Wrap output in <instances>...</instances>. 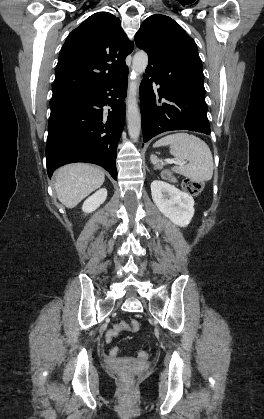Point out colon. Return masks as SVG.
I'll return each instance as SVG.
<instances>
[{"label":"colon","instance_id":"colon-1","mask_svg":"<svg viewBox=\"0 0 264 419\" xmlns=\"http://www.w3.org/2000/svg\"><path fill=\"white\" fill-rule=\"evenodd\" d=\"M162 177L165 180H169V181L174 180V177H173L172 173L168 170H165L162 173ZM202 187L203 186L200 182L192 180V179H185L182 183L183 190L190 195L199 194L202 190ZM139 327H140L139 322L135 319H131V320L126 321V322H121V324H120V330L121 331L128 330V331H131V332H136V331L139 330ZM117 332H118V330H114V331L111 332V335L113 336ZM138 357L141 358V359H147L149 357V354L146 351H140L138 353Z\"/></svg>","mask_w":264,"mask_h":419}]
</instances>
